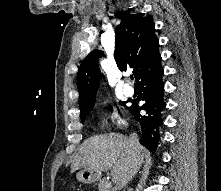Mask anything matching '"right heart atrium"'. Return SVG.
Segmentation results:
<instances>
[{
    "instance_id": "obj_1",
    "label": "right heart atrium",
    "mask_w": 221,
    "mask_h": 191,
    "mask_svg": "<svg viewBox=\"0 0 221 191\" xmlns=\"http://www.w3.org/2000/svg\"><path fill=\"white\" fill-rule=\"evenodd\" d=\"M105 124L110 127H121L125 121L122 115L117 110L107 112L103 118Z\"/></svg>"
}]
</instances>
